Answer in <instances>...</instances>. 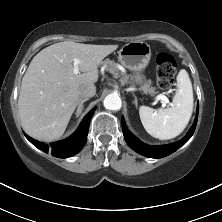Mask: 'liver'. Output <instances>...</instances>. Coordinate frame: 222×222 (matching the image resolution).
<instances>
[{
  "instance_id": "6515ba94",
  "label": "liver",
  "mask_w": 222,
  "mask_h": 222,
  "mask_svg": "<svg viewBox=\"0 0 222 222\" xmlns=\"http://www.w3.org/2000/svg\"><path fill=\"white\" fill-rule=\"evenodd\" d=\"M117 48L64 41L41 50L22 79L18 111L24 131L41 141L60 138L80 102L79 89L98 81V66ZM74 59L80 60L79 75Z\"/></svg>"
}]
</instances>
